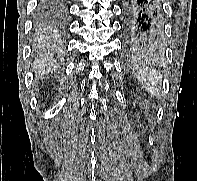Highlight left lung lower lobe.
Segmentation results:
<instances>
[{
  "instance_id": "1",
  "label": "left lung lower lobe",
  "mask_w": 197,
  "mask_h": 181,
  "mask_svg": "<svg viewBox=\"0 0 197 181\" xmlns=\"http://www.w3.org/2000/svg\"><path fill=\"white\" fill-rule=\"evenodd\" d=\"M125 51L134 57L162 52L163 16L160 0H122Z\"/></svg>"
}]
</instances>
